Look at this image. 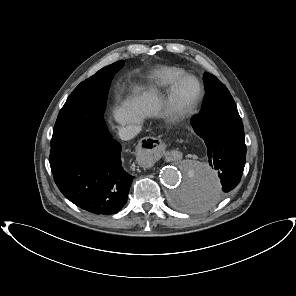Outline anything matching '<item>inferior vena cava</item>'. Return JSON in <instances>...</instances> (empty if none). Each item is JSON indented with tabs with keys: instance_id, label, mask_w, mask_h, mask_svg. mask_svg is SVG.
<instances>
[{
	"instance_id": "1",
	"label": "inferior vena cava",
	"mask_w": 296,
	"mask_h": 296,
	"mask_svg": "<svg viewBox=\"0 0 296 296\" xmlns=\"http://www.w3.org/2000/svg\"><path fill=\"white\" fill-rule=\"evenodd\" d=\"M141 130L142 126L140 124H130L119 129V136L122 140H130L134 138Z\"/></svg>"
}]
</instances>
